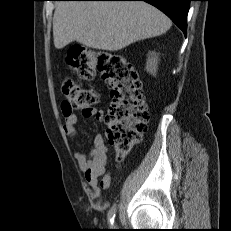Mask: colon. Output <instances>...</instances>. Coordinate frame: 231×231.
I'll list each match as a JSON object with an SVG mask.
<instances>
[{
	"label": "colon",
	"mask_w": 231,
	"mask_h": 231,
	"mask_svg": "<svg viewBox=\"0 0 231 231\" xmlns=\"http://www.w3.org/2000/svg\"><path fill=\"white\" fill-rule=\"evenodd\" d=\"M66 60L81 79L89 81L101 74L109 84L108 139L117 155L125 156L141 140L150 118L136 70L122 54L98 49H71ZM61 87L66 97L62 104L65 114L90 110L99 102L95 89L81 87L71 79H64Z\"/></svg>",
	"instance_id": "obj_1"
}]
</instances>
